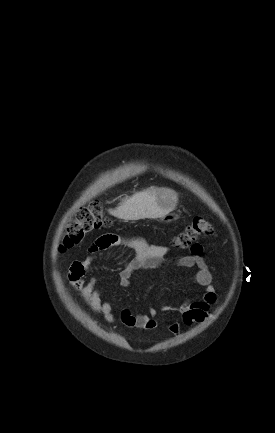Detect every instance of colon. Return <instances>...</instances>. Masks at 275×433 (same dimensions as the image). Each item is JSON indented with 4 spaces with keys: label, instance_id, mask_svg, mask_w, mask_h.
Here are the masks:
<instances>
[{
    "label": "colon",
    "instance_id": "obj_1",
    "mask_svg": "<svg viewBox=\"0 0 275 433\" xmlns=\"http://www.w3.org/2000/svg\"><path fill=\"white\" fill-rule=\"evenodd\" d=\"M110 224L111 219L104 214L101 205L92 203L81 208L76 217L64 228L61 249L66 250L78 245L86 234ZM214 236L215 231L211 223L205 218L196 217L174 237L173 244L180 249H192L198 241Z\"/></svg>",
    "mask_w": 275,
    "mask_h": 433
}]
</instances>
